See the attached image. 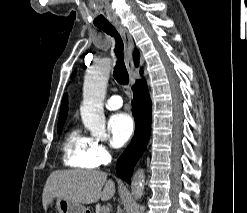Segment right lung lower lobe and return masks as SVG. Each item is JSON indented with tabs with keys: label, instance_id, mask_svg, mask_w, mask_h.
I'll list each match as a JSON object with an SVG mask.
<instances>
[{
	"label": "right lung lower lobe",
	"instance_id": "right-lung-lower-lobe-1",
	"mask_svg": "<svg viewBox=\"0 0 247 213\" xmlns=\"http://www.w3.org/2000/svg\"><path fill=\"white\" fill-rule=\"evenodd\" d=\"M133 90L132 111L135 119V134L131 143L117 161V175L130 183L134 166L143 154L151 131V100L144 80H137Z\"/></svg>",
	"mask_w": 247,
	"mask_h": 213
}]
</instances>
